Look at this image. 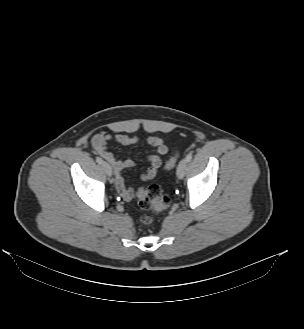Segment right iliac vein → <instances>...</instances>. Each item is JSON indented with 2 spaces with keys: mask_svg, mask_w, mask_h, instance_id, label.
<instances>
[{
  "mask_svg": "<svg viewBox=\"0 0 304 329\" xmlns=\"http://www.w3.org/2000/svg\"><path fill=\"white\" fill-rule=\"evenodd\" d=\"M102 167L105 171V173L108 175V176H112L113 172H112V168L111 166L107 163V162H103L102 163Z\"/></svg>",
  "mask_w": 304,
  "mask_h": 329,
  "instance_id": "1",
  "label": "right iliac vein"
}]
</instances>
